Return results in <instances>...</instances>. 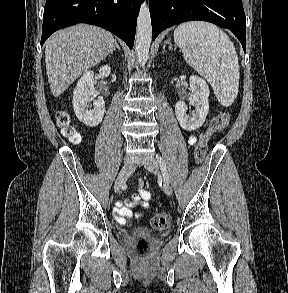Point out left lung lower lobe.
Instances as JSON below:
<instances>
[{
	"label": "left lung lower lobe",
	"mask_w": 288,
	"mask_h": 293,
	"mask_svg": "<svg viewBox=\"0 0 288 293\" xmlns=\"http://www.w3.org/2000/svg\"><path fill=\"white\" fill-rule=\"evenodd\" d=\"M152 38L168 27L202 20L231 30L246 52V21L242 0H149Z\"/></svg>",
	"instance_id": "0a47b994"
}]
</instances>
